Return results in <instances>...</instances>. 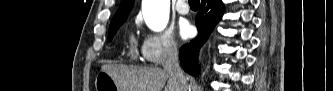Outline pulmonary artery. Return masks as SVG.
<instances>
[{
    "label": "pulmonary artery",
    "instance_id": "obj_1",
    "mask_svg": "<svg viewBox=\"0 0 333 91\" xmlns=\"http://www.w3.org/2000/svg\"><path fill=\"white\" fill-rule=\"evenodd\" d=\"M177 12L181 15H186L189 12V7L185 0H179L175 6Z\"/></svg>",
    "mask_w": 333,
    "mask_h": 91
}]
</instances>
